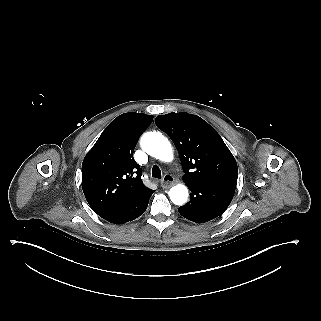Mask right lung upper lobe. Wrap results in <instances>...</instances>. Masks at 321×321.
Segmentation results:
<instances>
[{
  "instance_id": "obj_1",
  "label": "right lung upper lobe",
  "mask_w": 321,
  "mask_h": 321,
  "mask_svg": "<svg viewBox=\"0 0 321 321\" xmlns=\"http://www.w3.org/2000/svg\"><path fill=\"white\" fill-rule=\"evenodd\" d=\"M153 116L124 113L102 132L82 164V189L98 214L121 208L148 192L140 166L133 159L140 135Z\"/></svg>"
}]
</instances>
